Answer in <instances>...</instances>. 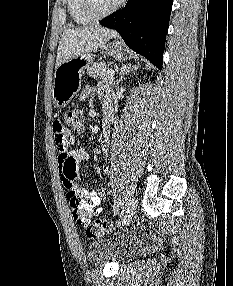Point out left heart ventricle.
Instances as JSON below:
<instances>
[{"instance_id":"left-heart-ventricle-1","label":"left heart ventricle","mask_w":233,"mask_h":286,"mask_svg":"<svg viewBox=\"0 0 233 286\" xmlns=\"http://www.w3.org/2000/svg\"><path fill=\"white\" fill-rule=\"evenodd\" d=\"M118 0H93L97 11L103 12L113 7Z\"/></svg>"}]
</instances>
